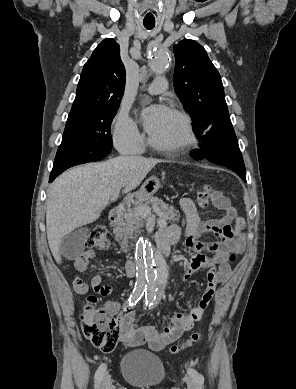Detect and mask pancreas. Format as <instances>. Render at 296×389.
I'll use <instances>...</instances> for the list:
<instances>
[{"label": "pancreas", "instance_id": "pancreas-1", "mask_svg": "<svg viewBox=\"0 0 296 389\" xmlns=\"http://www.w3.org/2000/svg\"><path fill=\"white\" fill-rule=\"evenodd\" d=\"M142 206L149 208L152 206L158 215L169 221H178L180 218L178 210L158 198H152L151 200L141 203L132 209H128L124 212L122 219L118 222L113 231L124 252L129 250V240H132L134 235L139 233L141 228L144 226V217L139 213V208Z\"/></svg>", "mask_w": 296, "mask_h": 389}]
</instances>
